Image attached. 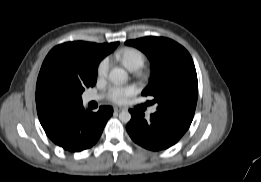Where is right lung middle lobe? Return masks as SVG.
I'll use <instances>...</instances> for the list:
<instances>
[{"label": "right lung middle lobe", "instance_id": "right-lung-middle-lobe-1", "mask_svg": "<svg viewBox=\"0 0 261 182\" xmlns=\"http://www.w3.org/2000/svg\"><path fill=\"white\" fill-rule=\"evenodd\" d=\"M98 63H92L82 72L59 64H52L46 71L45 81L48 87L57 93L71 98L74 102L82 103L81 94L97 79Z\"/></svg>", "mask_w": 261, "mask_h": 182}]
</instances>
